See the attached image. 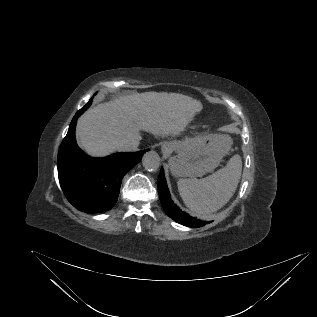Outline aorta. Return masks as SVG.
I'll list each match as a JSON object with an SVG mask.
<instances>
[{"instance_id": "1", "label": "aorta", "mask_w": 317, "mask_h": 317, "mask_svg": "<svg viewBox=\"0 0 317 317\" xmlns=\"http://www.w3.org/2000/svg\"><path fill=\"white\" fill-rule=\"evenodd\" d=\"M143 167L150 172H156L160 166V157L155 151H148L142 158Z\"/></svg>"}]
</instances>
